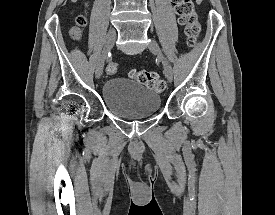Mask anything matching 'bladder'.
I'll list each match as a JSON object with an SVG mask.
<instances>
[{
    "instance_id": "31cf9c89",
    "label": "bladder",
    "mask_w": 275,
    "mask_h": 215,
    "mask_svg": "<svg viewBox=\"0 0 275 215\" xmlns=\"http://www.w3.org/2000/svg\"><path fill=\"white\" fill-rule=\"evenodd\" d=\"M102 100L111 114L120 118L141 119L157 114L161 97L141 83L111 78L102 86Z\"/></svg>"
}]
</instances>
